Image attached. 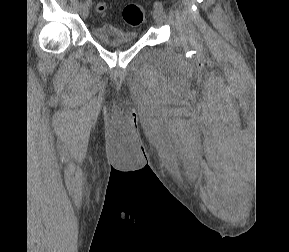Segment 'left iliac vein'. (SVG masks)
Wrapping results in <instances>:
<instances>
[{
    "mask_svg": "<svg viewBox=\"0 0 289 252\" xmlns=\"http://www.w3.org/2000/svg\"><path fill=\"white\" fill-rule=\"evenodd\" d=\"M153 18L156 23H162L165 18L164 11L161 9H156L153 11Z\"/></svg>",
    "mask_w": 289,
    "mask_h": 252,
    "instance_id": "left-iliac-vein-1",
    "label": "left iliac vein"
}]
</instances>
